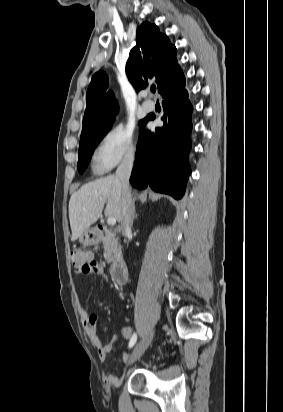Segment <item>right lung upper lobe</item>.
<instances>
[{
	"instance_id": "right-lung-upper-lobe-1",
	"label": "right lung upper lobe",
	"mask_w": 283,
	"mask_h": 412,
	"mask_svg": "<svg viewBox=\"0 0 283 412\" xmlns=\"http://www.w3.org/2000/svg\"><path fill=\"white\" fill-rule=\"evenodd\" d=\"M136 43L126 64L127 77L136 91L153 82L161 94L166 87H174L185 78L176 58V47L156 25L143 22L137 29ZM107 88L106 73L94 74L86 94L81 138L111 128L118 105L114 93L106 92Z\"/></svg>"
}]
</instances>
